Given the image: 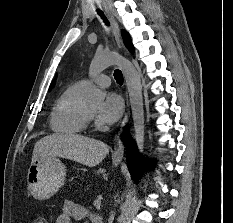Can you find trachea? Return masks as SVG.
I'll return each instance as SVG.
<instances>
[{
  "mask_svg": "<svg viewBox=\"0 0 233 223\" xmlns=\"http://www.w3.org/2000/svg\"><path fill=\"white\" fill-rule=\"evenodd\" d=\"M99 14L102 16L104 22L106 23V25H109V22L107 20V18H105V16L103 15V13L100 11ZM114 78L116 80L117 83L122 84L123 83V76L120 70H115L114 71Z\"/></svg>",
  "mask_w": 233,
  "mask_h": 223,
  "instance_id": "trachea-1",
  "label": "trachea"
}]
</instances>
